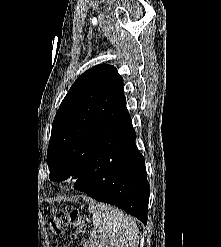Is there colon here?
Here are the masks:
<instances>
[{
	"mask_svg": "<svg viewBox=\"0 0 221 247\" xmlns=\"http://www.w3.org/2000/svg\"><path fill=\"white\" fill-rule=\"evenodd\" d=\"M48 226L55 236L61 235L67 228L82 230L85 220L80 217L78 212L59 213L55 218L48 220Z\"/></svg>",
	"mask_w": 221,
	"mask_h": 247,
	"instance_id": "obj_1",
	"label": "colon"
}]
</instances>
